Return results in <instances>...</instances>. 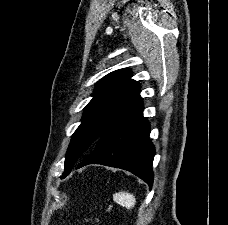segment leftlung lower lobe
<instances>
[{
	"instance_id": "1",
	"label": "left lung lower lobe",
	"mask_w": 228,
	"mask_h": 225,
	"mask_svg": "<svg viewBox=\"0 0 228 225\" xmlns=\"http://www.w3.org/2000/svg\"><path fill=\"white\" fill-rule=\"evenodd\" d=\"M143 108L141 102L109 127L76 168L88 164L121 168L144 180L151 189L155 147L149 139L150 124L143 117Z\"/></svg>"
}]
</instances>
